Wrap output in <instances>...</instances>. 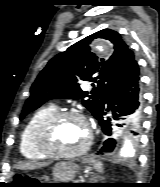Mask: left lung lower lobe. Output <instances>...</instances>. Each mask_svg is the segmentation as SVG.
<instances>
[{"mask_svg":"<svg viewBox=\"0 0 160 187\" xmlns=\"http://www.w3.org/2000/svg\"><path fill=\"white\" fill-rule=\"evenodd\" d=\"M142 114V91L140 71L136 60L131 64L125 77L115 84L105 95L99 112L96 115L104 134L112 136L115 132L113 126L119 127L118 121H130L138 125ZM106 115H109L106 117ZM115 146L112 138L104 142L99 151L111 152Z\"/></svg>","mask_w":160,"mask_h":187,"instance_id":"1","label":"left lung lower lobe"}]
</instances>
